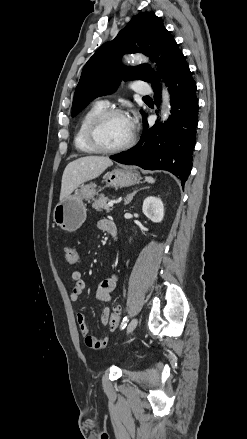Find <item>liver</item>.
I'll use <instances>...</instances> for the list:
<instances>
[{
	"label": "liver",
	"instance_id": "obj_1",
	"mask_svg": "<svg viewBox=\"0 0 247 439\" xmlns=\"http://www.w3.org/2000/svg\"><path fill=\"white\" fill-rule=\"evenodd\" d=\"M112 165V160L103 156H86L70 162L63 172L60 201L68 197L82 183L95 179Z\"/></svg>",
	"mask_w": 247,
	"mask_h": 439
}]
</instances>
